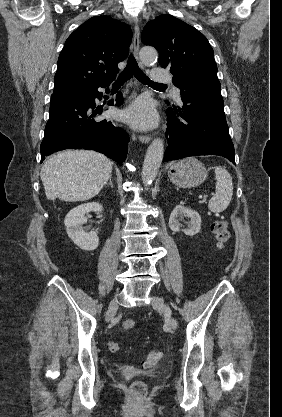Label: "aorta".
Instances as JSON below:
<instances>
[{"instance_id":"aorta-1","label":"aorta","mask_w":282,"mask_h":417,"mask_svg":"<svg viewBox=\"0 0 282 417\" xmlns=\"http://www.w3.org/2000/svg\"><path fill=\"white\" fill-rule=\"evenodd\" d=\"M139 56L145 66H153L158 60V52L154 46H143ZM164 154V142L162 138H154L147 148L143 166L142 180L144 184H151L155 180Z\"/></svg>"}]
</instances>
